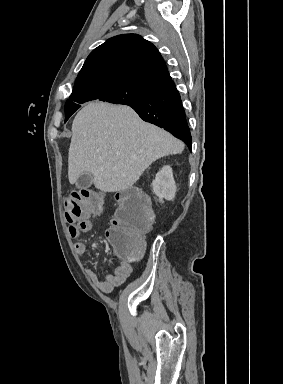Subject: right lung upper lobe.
Wrapping results in <instances>:
<instances>
[{
  "label": "right lung upper lobe",
  "instance_id": "1",
  "mask_svg": "<svg viewBox=\"0 0 283 384\" xmlns=\"http://www.w3.org/2000/svg\"><path fill=\"white\" fill-rule=\"evenodd\" d=\"M171 77L157 48L137 34L108 39L87 57L74 89L103 83H124L155 90Z\"/></svg>",
  "mask_w": 283,
  "mask_h": 384
}]
</instances>
